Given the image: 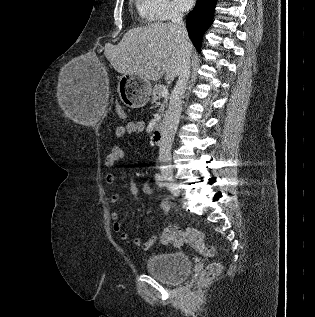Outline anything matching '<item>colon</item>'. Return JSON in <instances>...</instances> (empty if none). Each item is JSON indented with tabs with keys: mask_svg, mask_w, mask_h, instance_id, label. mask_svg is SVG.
Returning <instances> with one entry per match:
<instances>
[{
	"mask_svg": "<svg viewBox=\"0 0 315 317\" xmlns=\"http://www.w3.org/2000/svg\"><path fill=\"white\" fill-rule=\"evenodd\" d=\"M117 112L121 118L125 117V111L122 107H119ZM161 242L165 245H180L183 243H189L201 254L207 256L212 255L214 252L212 247H209L204 243V237L202 232L192 227L182 229L177 226H169L163 230L161 234ZM221 270V263L213 262L209 264L201 274L199 282L207 283L211 281L220 274Z\"/></svg>",
	"mask_w": 315,
	"mask_h": 317,
	"instance_id": "1",
	"label": "colon"
}]
</instances>
